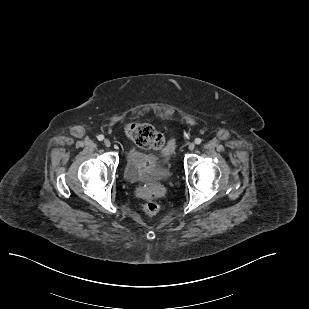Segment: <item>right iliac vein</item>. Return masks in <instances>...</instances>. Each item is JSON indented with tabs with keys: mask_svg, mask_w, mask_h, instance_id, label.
<instances>
[{
	"mask_svg": "<svg viewBox=\"0 0 309 309\" xmlns=\"http://www.w3.org/2000/svg\"><path fill=\"white\" fill-rule=\"evenodd\" d=\"M104 145H105L106 147H110V145H111L110 140L105 139V140H104Z\"/></svg>",
	"mask_w": 309,
	"mask_h": 309,
	"instance_id": "right-iliac-vein-1",
	"label": "right iliac vein"
}]
</instances>
